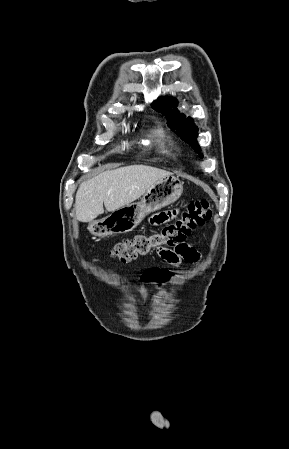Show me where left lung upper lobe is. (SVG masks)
I'll use <instances>...</instances> for the list:
<instances>
[{
	"instance_id": "obj_1",
	"label": "left lung upper lobe",
	"mask_w": 289,
	"mask_h": 449,
	"mask_svg": "<svg viewBox=\"0 0 289 449\" xmlns=\"http://www.w3.org/2000/svg\"><path fill=\"white\" fill-rule=\"evenodd\" d=\"M176 107L177 100L168 97L161 98L153 104L155 110L166 115L168 126L172 129H177L179 134L182 135L181 138L189 142L194 150L200 153V147L196 141V137L198 136L197 127L191 118H185L184 114L180 113ZM200 157H202L201 154Z\"/></svg>"
}]
</instances>
